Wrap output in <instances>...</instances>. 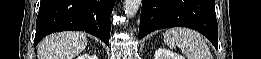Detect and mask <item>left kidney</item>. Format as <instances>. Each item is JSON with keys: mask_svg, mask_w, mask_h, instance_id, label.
Wrapping results in <instances>:
<instances>
[{"mask_svg": "<svg viewBox=\"0 0 261 59\" xmlns=\"http://www.w3.org/2000/svg\"><path fill=\"white\" fill-rule=\"evenodd\" d=\"M155 59H184L183 56L165 48H159L154 54Z\"/></svg>", "mask_w": 261, "mask_h": 59, "instance_id": "1", "label": "left kidney"}]
</instances>
